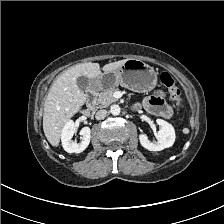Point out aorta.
<instances>
[{"label": "aorta", "mask_w": 224, "mask_h": 224, "mask_svg": "<svg viewBox=\"0 0 224 224\" xmlns=\"http://www.w3.org/2000/svg\"><path fill=\"white\" fill-rule=\"evenodd\" d=\"M110 112L112 115H119L120 112H121V109L119 107V105H112L111 108H110Z\"/></svg>", "instance_id": "obj_1"}]
</instances>
